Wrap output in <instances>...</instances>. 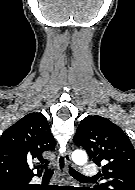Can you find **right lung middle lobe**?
<instances>
[{
  "instance_id": "right-lung-middle-lobe-1",
  "label": "right lung middle lobe",
  "mask_w": 135,
  "mask_h": 190,
  "mask_svg": "<svg viewBox=\"0 0 135 190\" xmlns=\"http://www.w3.org/2000/svg\"><path fill=\"white\" fill-rule=\"evenodd\" d=\"M26 186H27L26 184L20 183V181L0 182V190H24V189H30V188H28Z\"/></svg>"
}]
</instances>
